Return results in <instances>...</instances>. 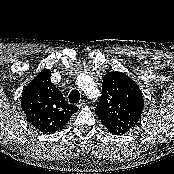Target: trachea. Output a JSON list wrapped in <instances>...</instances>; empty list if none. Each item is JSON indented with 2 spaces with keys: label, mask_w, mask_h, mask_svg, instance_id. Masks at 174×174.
Listing matches in <instances>:
<instances>
[{
  "label": "trachea",
  "mask_w": 174,
  "mask_h": 174,
  "mask_svg": "<svg viewBox=\"0 0 174 174\" xmlns=\"http://www.w3.org/2000/svg\"><path fill=\"white\" fill-rule=\"evenodd\" d=\"M79 101H80V93H79V91L76 90V89L72 90L70 92V94H69V102L73 103V104L74 103L77 104V103H79Z\"/></svg>",
  "instance_id": "obj_1"
}]
</instances>
